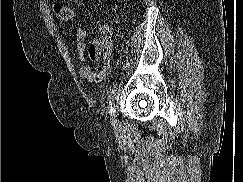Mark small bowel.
<instances>
[{"mask_svg": "<svg viewBox=\"0 0 243 182\" xmlns=\"http://www.w3.org/2000/svg\"><path fill=\"white\" fill-rule=\"evenodd\" d=\"M88 32L82 27L78 26L75 32V41L78 58L80 61L79 75L81 78L89 82L99 83L104 81L111 71L110 60L105 58L101 63L96 61L98 54L97 49L99 42L94 41L89 51V56L86 50V39ZM90 59L94 62L92 63Z\"/></svg>", "mask_w": 243, "mask_h": 182, "instance_id": "obj_1", "label": "small bowel"}]
</instances>
